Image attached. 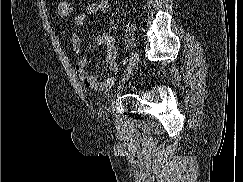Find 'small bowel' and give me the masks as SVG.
I'll return each instance as SVG.
<instances>
[{"mask_svg":"<svg viewBox=\"0 0 243 182\" xmlns=\"http://www.w3.org/2000/svg\"><path fill=\"white\" fill-rule=\"evenodd\" d=\"M109 10L108 0H99L88 3L85 11L75 16L72 29V49L77 59L75 62V73L79 80H81L86 87L105 92L110 90L116 83L117 77L115 74L118 72V65L116 62V44L115 40L111 36H99L96 38V43L99 45H105L107 52V68L114 75L105 79H99L88 72L87 58L82 54V28L85 24L86 18L89 15H98L106 13Z\"/></svg>","mask_w":243,"mask_h":182,"instance_id":"obj_1","label":"small bowel"}]
</instances>
